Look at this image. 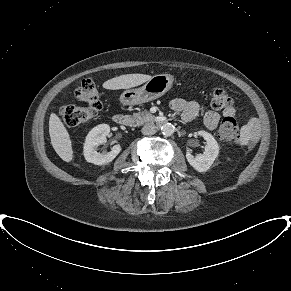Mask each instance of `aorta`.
I'll use <instances>...</instances> for the list:
<instances>
[{"label": "aorta", "instance_id": "aorta-1", "mask_svg": "<svg viewBox=\"0 0 291 291\" xmlns=\"http://www.w3.org/2000/svg\"><path fill=\"white\" fill-rule=\"evenodd\" d=\"M161 131L164 136H171L174 133L175 129L171 123H166L162 125Z\"/></svg>", "mask_w": 291, "mask_h": 291}]
</instances>
